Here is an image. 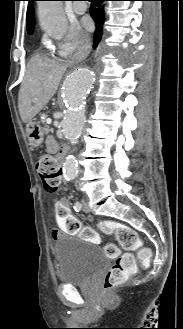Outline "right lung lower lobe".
<instances>
[{
  "label": "right lung lower lobe",
  "instance_id": "98d812e1",
  "mask_svg": "<svg viewBox=\"0 0 183 329\" xmlns=\"http://www.w3.org/2000/svg\"><path fill=\"white\" fill-rule=\"evenodd\" d=\"M106 0H92V4L90 7V14L96 24V30L94 33V45L93 47L96 48L99 44L102 34H103V24L105 21V13H104V6L102 3Z\"/></svg>",
  "mask_w": 183,
  "mask_h": 329
}]
</instances>
